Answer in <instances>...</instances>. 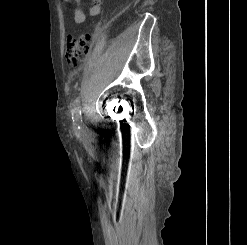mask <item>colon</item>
<instances>
[{
	"label": "colon",
	"mask_w": 247,
	"mask_h": 245,
	"mask_svg": "<svg viewBox=\"0 0 247 245\" xmlns=\"http://www.w3.org/2000/svg\"><path fill=\"white\" fill-rule=\"evenodd\" d=\"M92 42L93 34L91 32H83L79 36H68L65 58L72 70L79 68L89 52Z\"/></svg>",
	"instance_id": "colon-1"
}]
</instances>
